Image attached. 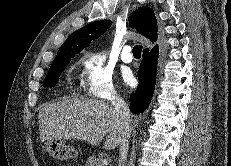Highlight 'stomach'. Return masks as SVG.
I'll return each instance as SVG.
<instances>
[{"instance_id":"stomach-1","label":"stomach","mask_w":231,"mask_h":166,"mask_svg":"<svg viewBox=\"0 0 231 166\" xmlns=\"http://www.w3.org/2000/svg\"><path fill=\"white\" fill-rule=\"evenodd\" d=\"M46 147L49 154L57 160H68L77 155V151L63 139L49 140L46 142Z\"/></svg>"}]
</instances>
